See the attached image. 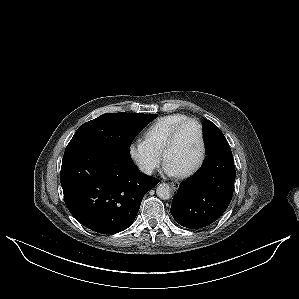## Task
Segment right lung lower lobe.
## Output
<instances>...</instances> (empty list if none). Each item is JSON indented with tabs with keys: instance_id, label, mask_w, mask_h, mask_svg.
Listing matches in <instances>:
<instances>
[{
	"instance_id": "right-lung-lower-lobe-1",
	"label": "right lung lower lobe",
	"mask_w": 299,
	"mask_h": 299,
	"mask_svg": "<svg viewBox=\"0 0 299 299\" xmlns=\"http://www.w3.org/2000/svg\"><path fill=\"white\" fill-rule=\"evenodd\" d=\"M60 181L70 213L102 234L127 229L144 195L159 183L142 174L131 157L91 146L65 150Z\"/></svg>"
}]
</instances>
